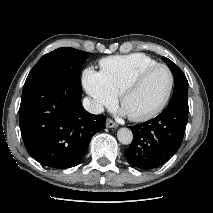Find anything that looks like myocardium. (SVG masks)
I'll return each mask as SVG.
<instances>
[{"instance_id":"myocardium-1","label":"myocardium","mask_w":213,"mask_h":213,"mask_svg":"<svg viewBox=\"0 0 213 213\" xmlns=\"http://www.w3.org/2000/svg\"><path fill=\"white\" fill-rule=\"evenodd\" d=\"M156 69H165L169 75V85H168V89L163 97V99L150 111L140 114V115H128L129 118L132 121H136V122H142V121H146L149 120L151 118H153L154 116H156L159 112L162 111V109L166 106V104L168 103L172 91H173V87H174V75L172 70L164 65V64H155L152 66H149L147 68H144L143 70H141L139 73H137L120 91L119 93V103L122 106L123 105V101L125 99V97L131 92L133 91L141 82L142 80L152 71L156 70Z\"/></svg>"}]
</instances>
